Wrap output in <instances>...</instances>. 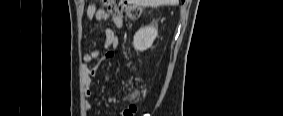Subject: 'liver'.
Wrapping results in <instances>:
<instances>
[{"label":"liver","instance_id":"liver-1","mask_svg":"<svg viewBox=\"0 0 283 116\" xmlns=\"http://www.w3.org/2000/svg\"><path fill=\"white\" fill-rule=\"evenodd\" d=\"M132 2L141 6L158 7L160 5H177L179 0H132Z\"/></svg>","mask_w":283,"mask_h":116}]
</instances>
